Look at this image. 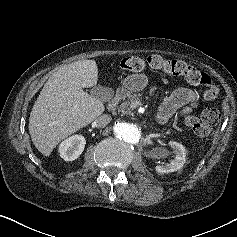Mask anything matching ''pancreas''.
<instances>
[{
  "mask_svg": "<svg viewBox=\"0 0 237 237\" xmlns=\"http://www.w3.org/2000/svg\"><path fill=\"white\" fill-rule=\"evenodd\" d=\"M139 101V97L137 95H130L128 98L123 101L119 106H118V112L128 115L132 113V104Z\"/></svg>",
  "mask_w": 237,
  "mask_h": 237,
  "instance_id": "cf45deb5",
  "label": "pancreas"
}]
</instances>
